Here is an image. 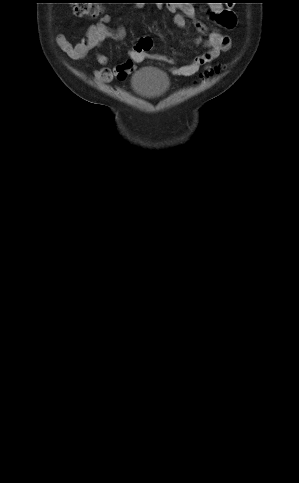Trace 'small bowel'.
Wrapping results in <instances>:
<instances>
[{"label":"small bowel","instance_id":"obj_1","mask_svg":"<svg viewBox=\"0 0 299 483\" xmlns=\"http://www.w3.org/2000/svg\"><path fill=\"white\" fill-rule=\"evenodd\" d=\"M168 10L174 15L173 20L177 27L183 28L186 25V17H193L194 8L190 5L171 4ZM211 13L216 22L223 28L231 30L236 24V15L229 10L223 8L220 4H212ZM108 15L103 16L99 22L91 25L87 31L86 36L78 43H71L65 35H57L56 41L60 48L73 60H80L87 56V54L94 49H98L104 40L111 38L121 40L126 36V28L122 25L116 28L108 26L110 22ZM195 26L200 33H206V27L196 22ZM196 42L204 43L207 51L197 54L188 64L182 66H172L171 71L178 76H193L202 66L209 65L213 60L219 57L223 52H226L231 47V38L228 35L222 34L218 31H211L207 33L205 38L198 37ZM152 39L148 36L142 37L136 45L128 51L129 59L124 63L118 64L114 67H107L109 57L105 54L98 53L96 58L98 63L102 66L95 70L94 77L100 83H107L114 78L124 80L131 72H133L135 65L141 63L146 59L152 58L156 60H166L172 64L165 56L151 52Z\"/></svg>","mask_w":299,"mask_h":483}]
</instances>
